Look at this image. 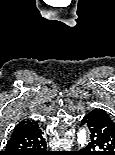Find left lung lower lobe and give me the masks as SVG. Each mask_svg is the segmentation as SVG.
<instances>
[{
	"label": "left lung lower lobe",
	"mask_w": 115,
	"mask_h": 155,
	"mask_svg": "<svg viewBox=\"0 0 115 155\" xmlns=\"http://www.w3.org/2000/svg\"><path fill=\"white\" fill-rule=\"evenodd\" d=\"M82 125L90 132V142L78 155H115V123L105 111L89 112L82 119Z\"/></svg>",
	"instance_id": "obj_1"
}]
</instances>
